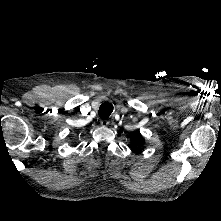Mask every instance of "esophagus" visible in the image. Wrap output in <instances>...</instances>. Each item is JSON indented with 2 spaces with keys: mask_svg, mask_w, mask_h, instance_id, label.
I'll return each instance as SVG.
<instances>
[{
  "mask_svg": "<svg viewBox=\"0 0 221 221\" xmlns=\"http://www.w3.org/2000/svg\"><path fill=\"white\" fill-rule=\"evenodd\" d=\"M100 124H101V126L106 127V126H108V125H109V121H108V120L103 119V120H101V121H100Z\"/></svg>",
  "mask_w": 221,
  "mask_h": 221,
  "instance_id": "obj_1",
  "label": "esophagus"
}]
</instances>
